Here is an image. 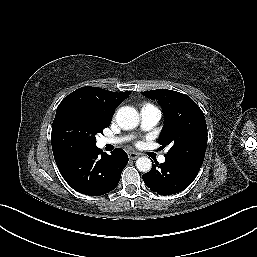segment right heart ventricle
Segmentation results:
<instances>
[{
    "label": "right heart ventricle",
    "mask_w": 257,
    "mask_h": 257,
    "mask_svg": "<svg viewBox=\"0 0 257 257\" xmlns=\"http://www.w3.org/2000/svg\"><path fill=\"white\" fill-rule=\"evenodd\" d=\"M147 106H152V105L149 104V103H146V104L143 105V107H147ZM143 107H142V108H143Z\"/></svg>",
    "instance_id": "e07e8e85"
}]
</instances>
